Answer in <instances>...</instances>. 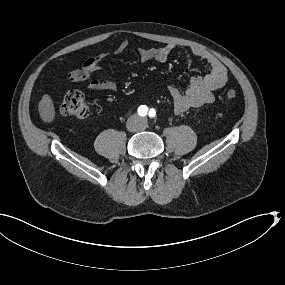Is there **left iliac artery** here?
Here are the masks:
<instances>
[{
    "mask_svg": "<svg viewBox=\"0 0 285 285\" xmlns=\"http://www.w3.org/2000/svg\"><path fill=\"white\" fill-rule=\"evenodd\" d=\"M148 114L150 117H154L156 115V111L154 109H150Z\"/></svg>",
    "mask_w": 285,
    "mask_h": 285,
    "instance_id": "obj_1",
    "label": "left iliac artery"
}]
</instances>
